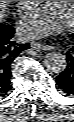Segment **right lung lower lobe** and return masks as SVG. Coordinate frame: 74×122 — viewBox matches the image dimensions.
Here are the masks:
<instances>
[{"label": "right lung lower lobe", "instance_id": "1", "mask_svg": "<svg viewBox=\"0 0 74 122\" xmlns=\"http://www.w3.org/2000/svg\"><path fill=\"white\" fill-rule=\"evenodd\" d=\"M15 30L11 26L0 24V97L6 95L11 87V65L15 58L30 48L29 43L17 44L14 37Z\"/></svg>", "mask_w": 74, "mask_h": 122}]
</instances>
